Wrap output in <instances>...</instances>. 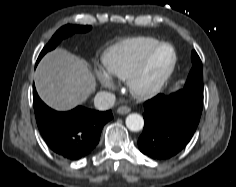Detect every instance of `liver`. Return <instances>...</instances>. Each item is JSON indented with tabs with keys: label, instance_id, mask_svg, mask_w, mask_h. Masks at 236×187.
<instances>
[{
	"label": "liver",
	"instance_id": "obj_1",
	"mask_svg": "<svg viewBox=\"0 0 236 187\" xmlns=\"http://www.w3.org/2000/svg\"><path fill=\"white\" fill-rule=\"evenodd\" d=\"M34 81L40 98L58 111L82 104L96 88L95 77L87 62L61 48L43 57Z\"/></svg>",
	"mask_w": 236,
	"mask_h": 187
}]
</instances>
